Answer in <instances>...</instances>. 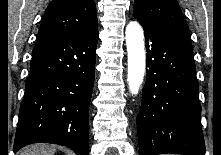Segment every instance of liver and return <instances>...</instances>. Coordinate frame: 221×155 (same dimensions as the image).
Here are the masks:
<instances>
[{
  "label": "liver",
  "mask_w": 221,
  "mask_h": 155,
  "mask_svg": "<svg viewBox=\"0 0 221 155\" xmlns=\"http://www.w3.org/2000/svg\"><path fill=\"white\" fill-rule=\"evenodd\" d=\"M56 148L48 144H33L24 147L19 155H55Z\"/></svg>",
  "instance_id": "obj_1"
}]
</instances>
